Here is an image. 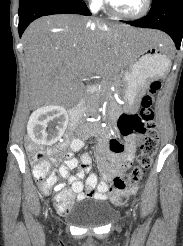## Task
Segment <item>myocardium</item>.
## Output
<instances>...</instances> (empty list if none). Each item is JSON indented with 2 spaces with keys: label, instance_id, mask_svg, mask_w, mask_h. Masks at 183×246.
<instances>
[{
  "label": "myocardium",
  "instance_id": "obj_1",
  "mask_svg": "<svg viewBox=\"0 0 183 246\" xmlns=\"http://www.w3.org/2000/svg\"><path fill=\"white\" fill-rule=\"evenodd\" d=\"M151 4H152V0H144V5L140 11H138L135 14H124V13L117 11L114 8V6L112 5L110 0H105V5H106L107 11L111 15H113L117 18L123 19V20H135V19H139V18L143 17L149 11Z\"/></svg>",
  "mask_w": 183,
  "mask_h": 246
}]
</instances>
